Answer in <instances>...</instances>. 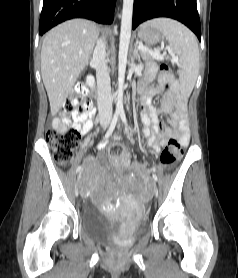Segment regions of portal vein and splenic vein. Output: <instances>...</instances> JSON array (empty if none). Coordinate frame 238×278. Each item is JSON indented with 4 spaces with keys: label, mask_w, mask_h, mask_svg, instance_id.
<instances>
[{
    "label": "portal vein and splenic vein",
    "mask_w": 238,
    "mask_h": 278,
    "mask_svg": "<svg viewBox=\"0 0 238 278\" xmlns=\"http://www.w3.org/2000/svg\"><path fill=\"white\" fill-rule=\"evenodd\" d=\"M138 48H139V50H141V51H148L155 59H157V60H163L164 59V56H165V53H163V55H161L160 53H159V51L158 50H155V51H151V50H148L145 46H143L142 44H140L139 46H138ZM172 61L173 62H177L178 61V57H173L172 58Z\"/></svg>",
    "instance_id": "18ae733b"
}]
</instances>
